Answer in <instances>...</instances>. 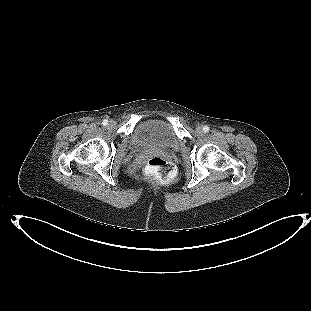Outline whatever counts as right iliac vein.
Here are the masks:
<instances>
[{"mask_svg":"<svg viewBox=\"0 0 311 311\" xmlns=\"http://www.w3.org/2000/svg\"><path fill=\"white\" fill-rule=\"evenodd\" d=\"M109 127H110L111 129L115 128V127H116V122L113 121V120H111V121L109 122Z\"/></svg>","mask_w":311,"mask_h":311,"instance_id":"obj_1","label":"right iliac vein"}]
</instances>
